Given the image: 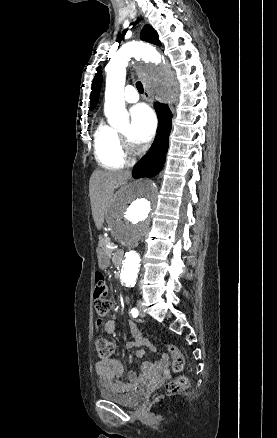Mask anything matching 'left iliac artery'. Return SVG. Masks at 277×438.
<instances>
[{"label":"left iliac artery","mask_w":277,"mask_h":438,"mask_svg":"<svg viewBox=\"0 0 277 438\" xmlns=\"http://www.w3.org/2000/svg\"><path fill=\"white\" fill-rule=\"evenodd\" d=\"M138 310L136 308L131 309V315L132 317H137L138 316Z\"/></svg>","instance_id":"left-iliac-artery-1"}]
</instances>
